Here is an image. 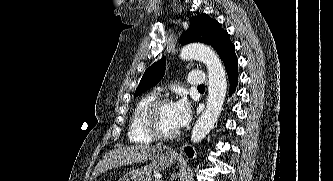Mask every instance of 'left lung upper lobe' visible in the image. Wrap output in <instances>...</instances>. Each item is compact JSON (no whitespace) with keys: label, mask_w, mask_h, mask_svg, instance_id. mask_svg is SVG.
<instances>
[{"label":"left lung upper lobe","mask_w":333,"mask_h":181,"mask_svg":"<svg viewBox=\"0 0 333 181\" xmlns=\"http://www.w3.org/2000/svg\"><path fill=\"white\" fill-rule=\"evenodd\" d=\"M191 42H202L211 45L223 59L227 52L234 46L229 39L227 31L220 27L215 19L207 14L197 15L190 19V26L181 38L182 45ZM166 58L153 63L144 73L135 91L134 97L155 86L165 74Z\"/></svg>","instance_id":"left-lung-upper-lobe-1"}]
</instances>
